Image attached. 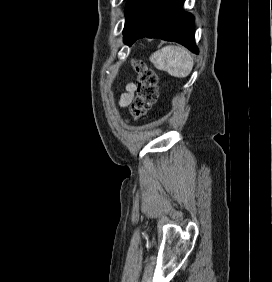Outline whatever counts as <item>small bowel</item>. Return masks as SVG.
Masks as SVG:
<instances>
[{
  "label": "small bowel",
  "mask_w": 272,
  "mask_h": 282,
  "mask_svg": "<svg viewBox=\"0 0 272 282\" xmlns=\"http://www.w3.org/2000/svg\"><path fill=\"white\" fill-rule=\"evenodd\" d=\"M136 88L134 83H128L126 85L125 91L121 94L119 99V105L121 107H126L132 102Z\"/></svg>",
  "instance_id": "1"
}]
</instances>
